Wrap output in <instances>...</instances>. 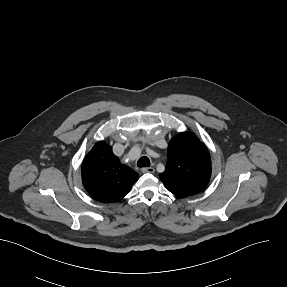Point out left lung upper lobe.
<instances>
[{
	"label": "left lung upper lobe",
	"instance_id": "left-lung-upper-lobe-1",
	"mask_svg": "<svg viewBox=\"0 0 287 287\" xmlns=\"http://www.w3.org/2000/svg\"><path fill=\"white\" fill-rule=\"evenodd\" d=\"M165 171L159 177L174 195L184 198L202 191L209 182L211 160L205 145L192 133L173 137L168 145Z\"/></svg>",
	"mask_w": 287,
	"mask_h": 287
}]
</instances>
